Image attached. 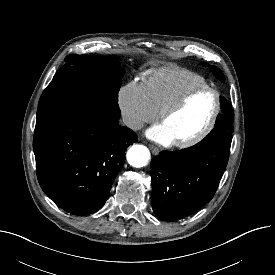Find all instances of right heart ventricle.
Listing matches in <instances>:
<instances>
[{
	"label": "right heart ventricle",
	"mask_w": 275,
	"mask_h": 275,
	"mask_svg": "<svg viewBox=\"0 0 275 275\" xmlns=\"http://www.w3.org/2000/svg\"><path fill=\"white\" fill-rule=\"evenodd\" d=\"M201 85H206L202 76L178 68L152 70L143 81L148 100L156 113H160L186 91Z\"/></svg>",
	"instance_id": "1"
}]
</instances>
